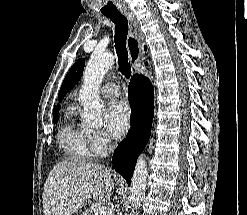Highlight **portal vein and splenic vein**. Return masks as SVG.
<instances>
[{"label":"portal vein and splenic vein","mask_w":247,"mask_h":215,"mask_svg":"<svg viewBox=\"0 0 247 215\" xmlns=\"http://www.w3.org/2000/svg\"><path fill=\"white\" fill-rule=\"evenodd\" d=\"M97 215H112V209L107 206H102L98 209Z\"/></svg>","instance_id":"obj_1"}]
</instances>
